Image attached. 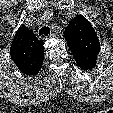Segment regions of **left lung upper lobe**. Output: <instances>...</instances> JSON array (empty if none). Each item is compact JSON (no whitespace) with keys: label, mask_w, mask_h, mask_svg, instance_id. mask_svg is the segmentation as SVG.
Wrapping results in <instances>:
<instances>
[{"label":"left lung upper lobe","mask_w":113,"mask_h":113,"mask_svg":"<svg viewBox=\"0 0 113 113\" xmlns=\"http://www.w3.org/2000/svg\"><path fill=\"white\" fill-rule=\"evenodd\" d=\"M64 37L78 66L83 70L95 67L100 43L90 22L77 15L65 28Z\"/></svg>","instance_id":"left-lung-upper-lobe-1"}]
</instances>
